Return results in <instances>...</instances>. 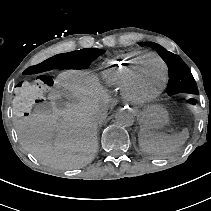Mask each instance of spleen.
Here are the masks:
<instances>
[{
	"label": "spleen",
	"mask_w": 211,
	"mask_h": 211,
	"mask_svg": "<svg viewBox=\"0 0 211 211\" xmlns=\"http://www.w3.org/2000/svg\"><path fill=\"white\" fill-rule=\"evenodd\" d=\"M188 137V129H184L175 135H169L163 132H152L143 127L138 134V141L144 152L148 154L162 155L173 151V149L180 145H183Z\"/></svg>",
	"instance_id": "1"
}]
</instances>
